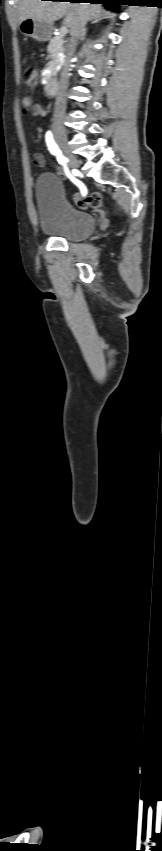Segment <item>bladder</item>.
I'll use <instances>...</instances> for the list:
<instances>
[{"label":"bladder","mask_w":162,"mask_h":851,"mask_svg":"<svg viewBox=\"0 0 162 851\" xmlns=\"http://www.w3.org/2000/svg\"><path fill=\"white\" fill-rule=\"evenodd\" d=\"M34 193L39 227L44 234L77 242L93 233L94 216L77 209L65 197L62 182L55 174H41Z\"/></svg>","instance_id":"31cf9c89"}]
</instances>
